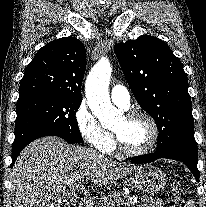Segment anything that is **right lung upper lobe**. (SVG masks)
I'll use <instances>...</instances> for the list:
<instances>
[{"mask_svg": "<svg viewBox=\"0 0 206 207\" xmlns=\"http://www.w3.org/2000/svg\"><path fill=\"white\" fill-rule=\"evenodd\" d=\"M86 69V50L74 37L49 42L27 66L21 79L19 99L39 95L81 98Z\"/></svg>", "mask_w": 206, "mask_h": 207, "instance_id": "1", "label": "right lung upper lobe"}]
</instances>
